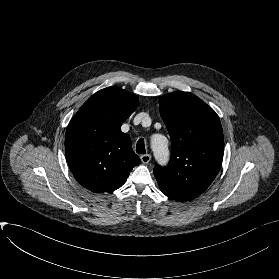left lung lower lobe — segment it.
Returning <instances> with one entry per match:
<instances>
[{"mask_svg":"<svg viewBox=\"0 0 279 279\" xmlns=\"http://www.w3.org/2000/svg\"><path fill=\"white\" fill-rule=\"evenodd\" d=\"M161 191L169 198L171 199H174V200H177V201H188L190 200L191 198H188V197H185V196H182V195H177V194H174L170 191H167V190H163L161 189Z\"/></svg>","mask_w":279,"mask_h":279,"instance_id":"left-lung-lower-lobe-1","label":"left lung lower lobe"}]
</instances>
